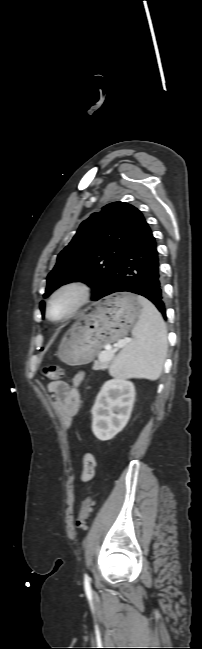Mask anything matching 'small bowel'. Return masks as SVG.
<instances>
[{
	"label": "small bowel",
	"instance_id": "1",
	"mask_svg": "<svg viewBox=\"0 0 202 649\" xmlns=\"http://www.w3.org/2000/svg\"><path fill=\"white\" fill-rule=\"evenodd\" d=\"M83 379V374L77 373L72 378L71 384L64 381H53L48 384V390L53 399V408L66 429L71 428L73 418L79 410L81 403L79 387ZM83 465L81 479L90 481L95 473L96 461L94 457L91 454L85 455Z\"/></svg>",
	"mask_w": 202,
	"mask_h": 649
}]
</instances>
